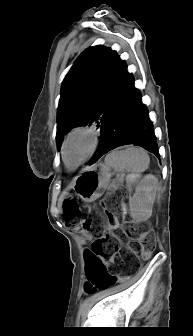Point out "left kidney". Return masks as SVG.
Returning <instances> with one entry per match:
<instances>
[{
    "label": "left kidney",
    "mask_w": 193,
    "mask_h": 336,
    "mask_svg": "<svg viewBox=\"0 0 193 336\" xmlns=\"http://www.w3.org/2000/svg\"><path fill=\"white\" fill-rule=\"evenodd\" d=\"M157 190L158 179L153 174L144 176L137 184L136 192L130 200V216L135 222L150 218Z\"/></svg>",
    "instance_id": "left-kidney-1"
}]
</instances>
